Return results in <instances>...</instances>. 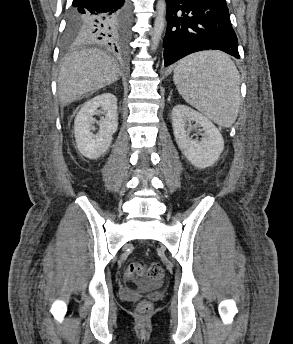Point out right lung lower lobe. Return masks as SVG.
Listing matches in <instances>:
<instances>
[{"mask_svg":"<svg viewBox=\"0 0 293 344\" xmlns=\"http://www.w3.org/2000/svg\"><path fill=\"white\" fill-rule=\"evenodd\" d=\"M129 4V0H73L72 11L87 16L82 27L84 42L122 46L130 22Z\"/></svg>","mask_w":293,"mask_h":344,"instance_id":"obj_1","label":"right lung lower lobe"}]
</instances>
